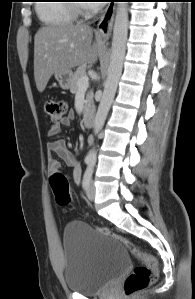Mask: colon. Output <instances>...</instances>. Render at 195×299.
<instances>
[{
    "label": "colon",
    "mask_w": 195,
    "mask_h": 299,
    "mask_svg": "<svg viewBox=\"0 0 195 299\" xmlns=\"http://www.w3.org/2000/svg\"><path fill=\"white\" fill-rule=\"evenodd\" d=\"M44 109L53 122H59L65 117L68 107L65 101L47 100ZM50 183L57 203L61 206L68 205L71 202V197L69 181L65 174L59 171L54 172L50 177ZM99 232L122 243L140 261V264L133 269L123 283V292L126 296L144 290L157 280V260L153 255L143 251L131 240L107 227H100Z\"/></svg>",
    "instance_id": "1"
}]
</instances>
